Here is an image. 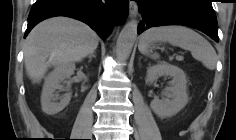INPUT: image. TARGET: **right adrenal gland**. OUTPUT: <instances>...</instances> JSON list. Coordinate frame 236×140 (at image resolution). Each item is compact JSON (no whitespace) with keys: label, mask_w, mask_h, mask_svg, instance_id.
I'll return each instance as SVG.
<instances>
[{"label":"right adrenal gland","mask_w":236,"mask_h":140,"mask_svg":"<svg viewBox=\"0 0 236 140\" xmlns=\"http://www.w3.org/2000/svg\"><path fill=\"white\" fill-rule=\"evenodd\" d=\"M88 57H89V62H91V60H92V57H94V58H95L96 56H95V53H91V54H89V56H88Z\"/></svg>","instance_id":"1"}]
</instances>
